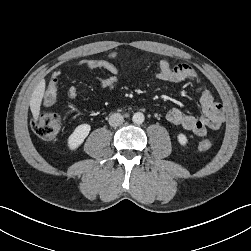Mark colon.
<instances>
[{
	"label": "colon",
	"instance_id": "1",
	"mask_svg": "<svg viewBox=\"0 0 251 251\" xmlns=\"http://www.w3.org/2000/svg\"><path fill=\"white\" fill-rule=\"evenodd\" d=\"M62 127V118L57 112H42L32 121V128L39 137L44 140L54 139ZM202 151L209 150L212 143L209 140H203L198 144Z\"/></svg>",
	"mask_w": 251,
	"mask_h": 251
}]
</instances>
